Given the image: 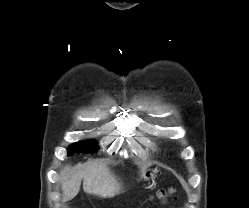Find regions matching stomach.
<instances>
[{
	"instance_id": "0dacf381",
	"label": "stomach",
	"mask_w": 249,
	"mask_h": 208,
	"mask_svg": "<svg viewBox=\"0 0 249 208\" xmlns=\"http://www.w3.org/2000/svg\"><path fill=\"white\" fill-rule=\"evenodd\" d=\"M156 170L154 169H147L142 174V177L145 181H149L150 179H153L155 177Z\"/></svg>"
}]
</instances>
